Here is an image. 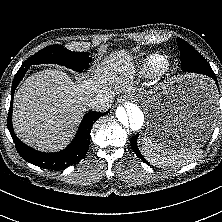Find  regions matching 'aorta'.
<instances>
[{
    "instance_id": "762f6f07",
    "label": "aorta",
    "mask_w": 222,
    "mask_h": 222,
    "mask_svg": "<svg viewBox=\"0 0 222 222\" xmlns=\"http://www.w3.org/2000/svg\"><path fill=\"white\" fill-rule=\"evenodd\" d=\"M116 118L120 125L129 131L139 130L144 123V114L141 108L131 102H127L124 106H119L116 109Z\"/></svg>"
}]
</instances>
